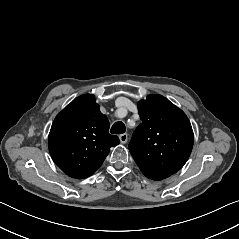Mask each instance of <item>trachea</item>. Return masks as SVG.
I'll list each match as a JSON object with an SVG mask.
<instances>
[{"label":"trachea","mask_w":239,"mask_h":239,"mask_svg":"<svg viewBox=\"0 0 239 239\" xmlns=\"http://www.w3.org/2000/svg\"><path fill=\"white\" fill-rule=\"evenodd\" d=\"M126 131V126L123 122H115L111 127L112 134H123Z\"/></svg>","instance_id":"1"}]
</instances>
